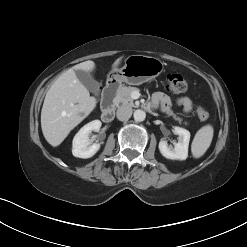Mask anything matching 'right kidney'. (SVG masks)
<instances>
[{"label": "right kidney", "instance_id": "1", "mask_svg": "<svg viewBox=\"0 0 247 247\" xmlns=\"http://www.w3.org/2000/svg\"><path fill=\"white\" fill-rule=\"evenodd\" d=\"M101 121L94 120L84 125L79 132L74 136L72 143V154L78 158H90L94 156L100 149V144L93 143L89 135L92 131L98 132L101 127Z\"/></svg>", "mask_w": 247, "mask_h": 247}]
</instances>
